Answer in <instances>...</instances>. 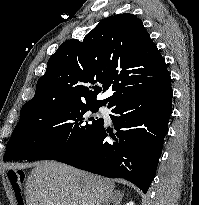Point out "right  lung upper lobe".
Returning <instances> with one entry per match:
<instances>
[{"label": "right lung upper lobe", "mask_w": 199, "mask_h": 205, "mask_svg": "<svg viewBox=\"0 0 199 205\" xmlns=\"http://www.w3.org/2000/svg\"><path fill=\"white\" fill-rule=\"evenodd\" d=\"M164 73H168L165 60L142 21L133 14H118L101 21L83 41L63 42L49 58L34 97L23 106L50 102L109 106L137 89L142 78ZM110 87L113 95L97 101V95Z\"/></svg>", "instance_id": "cb5924a9"}]
</instances>
